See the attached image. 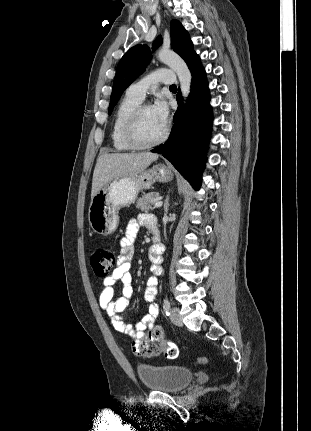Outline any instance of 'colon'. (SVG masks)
I'll return each mask as SVG.
<instances>
[{
    "label": "colon",
    "mask_w": 311,
    "mask_h": 431,
    "mask_svg": "<svg viewBox=\"0 0 311 431\" xmlns=\"http://www.w3.org/2000/svg\"><path fill=\"white\" fill-rule=\"evenodd\" d=\"M90 264L98 277H106L115 265L114 252L106 247L95 248L90 254ZM132 351L137 355L147 357H158L164 354L169 358H176L179 353L178 347L174 343L152 339L134 342ZM197 362L204 365L207 363V359L206 357H199Z\"/></svg>",
    "instance_id": "5ec220e1"
}]
</instances>
